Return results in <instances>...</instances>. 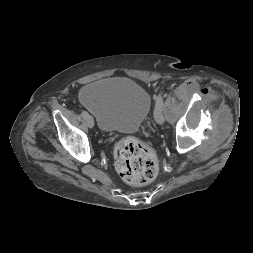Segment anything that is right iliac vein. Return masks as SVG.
Listing matches in <instances>:
<instances>
[{
	"label": "right iliac vein",
	"instance_id": "obj_1",
	"mask_svg": "<svg viewBox=\"0 0 253 253\" xmlns=\"http://www.w3.org/2000/svg\"><path fill=\"white\" fill-rule=\"evenodd\" d=\"M84 119L86 120V123H87L89 128L94 127V120L90 115H87V117H85Z\"/></svg>",
	"mask_w": 253,
	"mask_h": 253
}]
</instances>
